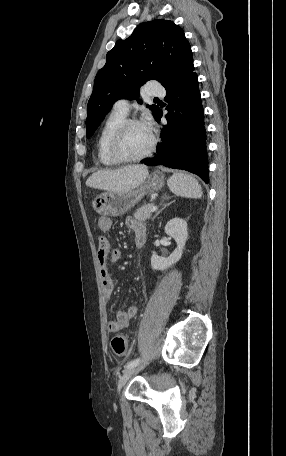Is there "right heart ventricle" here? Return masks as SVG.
Here are the masks:
<instances>
[{"label":"right heart ventricle","mask_w":286,"mask_h":456,"mask_svg":"<svg viewBox=\"0 0 286 456\" xmlns=\"http://www.w3.org/2000/svg\"><path fill=\"white\" fill-rule=\"evenodd\" d=\"M126 114L112 110L105 119L97 139V159L104 166H114L118 162L109 154V141L116 128L126 119Z\"/></svg>","instance_id":"right-heart-ventricle-1"}]
</instances>
